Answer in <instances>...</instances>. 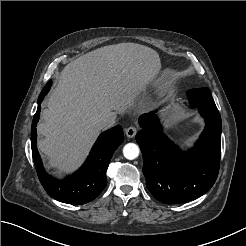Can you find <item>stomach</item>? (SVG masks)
Returning a JSON list of instances; mask_svg holds the SVG:
<instances>
[{
	"instance_id": "0dacf381",
	"label": "stomach",
	"mask_w": 246,
	"mask_h": 246,
	"mask_svg": "<svg viewBox=\"0 0 246 246\" xmlns=\"http://www.w3.org/2000/svg\"><path fill=\"white\" fill-rule=\"evenodd\" d=\"M176 118L172 114H166L164 118V123L167 127H172L175 124Z\"/></svg>"
}]
</instances>
